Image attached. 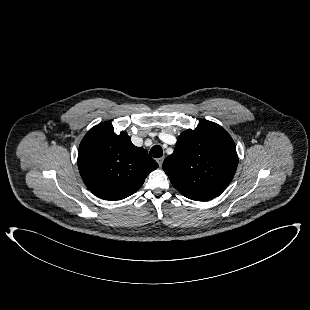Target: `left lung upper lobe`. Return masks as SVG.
<instances>
[{"label": "left lung upper lobe", "instance_id": "obj_1", "mask_svg": "<svg viewBox=\"0 0 310 310\" xmlns=\"http://www.w3.org/2000/svg\"><path fill=\"white\" fill-rule=\"evenodd\" d=\"M237 165L238 155L231 136L220 125L201 120L195 130L181 133L174 152L162 167L182 195L206 201L227 188Z\"/></svg>", "mask_w": 310, "mask_h": 310}]
</instances>
